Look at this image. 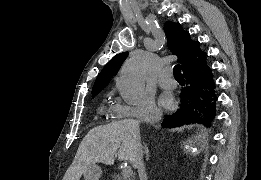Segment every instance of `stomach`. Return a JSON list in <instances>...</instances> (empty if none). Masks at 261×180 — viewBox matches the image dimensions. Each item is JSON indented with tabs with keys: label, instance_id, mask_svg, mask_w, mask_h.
Masks as SVG:
<instances>
[{
	"label": "stomach",
	"instance_id": "1",
	"mask_svg": "<svg viewBox=\"0 0 261 180\" xmlns=\"http://www.w3.org/2000/svg\"><path fill=\"white\" fill-rule=\"evenodd\" d=\"M102 176V170L97 165L90 166L84 173L85 180H99Z\"/></svg>",
	"mask_w": 261,
	"mask_h": 180
}]
</instances>
